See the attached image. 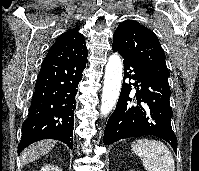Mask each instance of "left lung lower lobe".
Listing matches in <instances>:
<instances>
[{
  "mask_svg": "<svg viewBox=\"0 0 199 171\" xmlns=\"http://www.w3.org/2000/svg\"><path fill=\"white\" fill-rule=\"evenodd\" d=\"M113 51L118 50L113 48ZM118 52L124 58V79L116 109L104 131V145L124 138L152 135L167 141L176 152L177 138L171 127L173 111L168 82ZM126 78L135 80V83H125Z\"/></svg>",
  "mask_w": 199,
  "mask_h": 171,
  "instance_id": "1",
  "label": "left lung lower lobe"
}]
</instances>
